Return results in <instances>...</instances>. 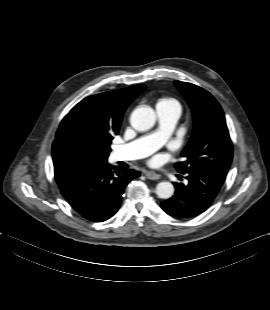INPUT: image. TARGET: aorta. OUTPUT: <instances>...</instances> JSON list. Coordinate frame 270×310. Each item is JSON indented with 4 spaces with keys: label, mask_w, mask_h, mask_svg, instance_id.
<instances>
[{
    "label": "aorta",
    "mask_w": 270,
    "mask_h": 310,
    "mask_svg": "<svg viewBox=\"0 0 270 310\" xmlns=\"http://www.w3.org/2000/svg\"><path fill=\"white\" fill-rule=\"evenodd\" d=\"M156 121L154 110L149 106H142L135 109L130 117L132 127L137 131H147L151 129ZM156 194L162 199H169L174 194L172 183L163 181L157 184Z\"/></svg>",
    "instance_id": "aorta-1"
}]
</instances>
